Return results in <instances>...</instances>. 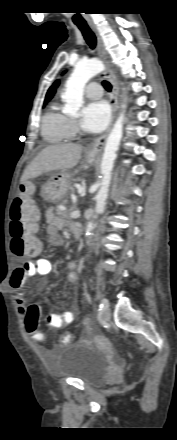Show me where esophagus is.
<instances>
[{
  "label": "esophagus",
  "mask_w": 177,
  "mask_h": 440,
  "mask_svg": "<svg viewBox=\"0 0 177 440\" xmlns=\"http://www.w3.org/2000/svg\"><path fill=\"white\" fill-rule=\"evenodd\" d=\"M89 26L92 29V31L94 32L96 38H97V42H98V54L100 56V58L103 60V62L105 63V65L107 66V53L105 50V46L102 40V37L98 31V28L96 27V25L93 22H89ZM104 76L111 82L112 84V92L110 94V102L112 104V121L114 119L115 113L117 111V107H118V86L116 83V79L115 76L113 74V72L106 67L105 71H104ZM111 125L108 127L106 133L104 135H102L101 137H99L98 139H96L88 148L87 150V155L89 157H94L96 155L99 154V152L101 151L106 137L108 135V132L110 130Z\"/></svg>",
  "instance_id": "1"
}]
</instances>
